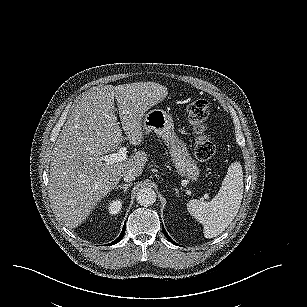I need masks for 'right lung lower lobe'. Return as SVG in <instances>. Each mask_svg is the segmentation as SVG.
<instances>
[{"instance_id":"1","label":"right lung lower lobe","mask_w":307,"mask_h":307,"mask_svg":"<svg viewBox=\"0 0 307 307\" xmlns=\"http://www.w3.org/2000/svg\"><path fill=\"white\" fill-rule=\"evenodd\" d=\"M125 229H126V225H124V227H123V229H122V232H121L120 236H119L115 241L111 242V243L108 244V245H109V246H110V245H114V244L118 243L119 241H121L122 238H123V236H124Z\"/></svg>"}]
</instances>
